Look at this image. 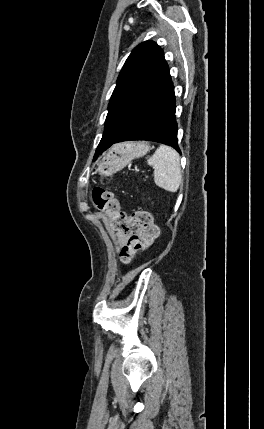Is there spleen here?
Instances as JSON below:
<instances>
[{
  "label": "spleen",
  "mask_w": 264,
  "mask_h": 429,
  "mask_svg": "<svg viewBox=\"0 0 264 429\" xmlns=\"http://www.w3.org/2000/svg\"><path fill=\"white\" fill-rule=\"evenodd\" d=\"M154 166L155 184L169 192H176L182 183L179 154L167 145H160L147 161Z\"/></svg>",
  "instance_id": "1"
}]
</instances>
